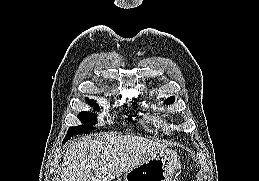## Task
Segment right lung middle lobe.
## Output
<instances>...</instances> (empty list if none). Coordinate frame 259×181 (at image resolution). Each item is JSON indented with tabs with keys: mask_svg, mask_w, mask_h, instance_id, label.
<instances>
[{
	"mask_svg": "<svg viewBox=\"0 0 259 181\" xmlns=\"http://www.w3.org/2000/svg\"><path fill=\"white\" fill-rule=\"evenodd\" d=\"M86 100L90 105L92 106L94 105V107H96V103L93 100H89L88 98ZM78 119L83 124L75 127H70L64 138L63 143L66 142L68 139H70L73 135L87 134V133H90L95 128V127H92L97 122L96 116L94 114L89 112H81L78 115Z\"/></svg>",
	"mask_w": 259,
	"mask_h": 181,
	"instance_id": "obj_1",
	"label": "right lung middle lobe"
}]
</instances>
